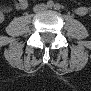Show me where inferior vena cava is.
<instances>
[{"label":"inferior vena cava","mask_w":91,"mask_h":91,"mask_svg":"<svg viewBox=\"0 0 91 91\" xmlns=\"http://www.w3.org/2000/svg\"><path fill=\"white\" fill-rule=\"evenodd\" d=\"M45 8H46L45 5H37V6L34 7V11L38 12V11H41V10H43Z\"/></svg>","instance_id":"602c4592"}]
</instances>
